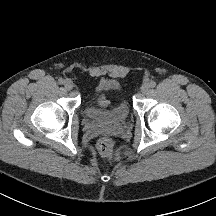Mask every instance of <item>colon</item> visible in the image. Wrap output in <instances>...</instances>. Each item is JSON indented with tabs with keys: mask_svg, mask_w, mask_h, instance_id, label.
I'll return each instance as SVG.
<instances>
[{
	"mask_svg": "<svg viewBox=\"0 0 216 216\" xmlns=\"http://www.w3.org/2000/svg\"><path fill=\"white\" fill-rule=\"evenodd\" d=\"M99 153L104 157H112L115 153V145L111 138L102 137L97 143Z\"/></svg>",
	"mask_w": 216,
	"mask_h": 216,
	"instance_id": "5ec220e1",
	"label": "colon"
}]
</instances>
